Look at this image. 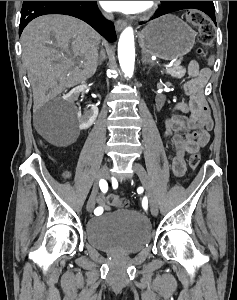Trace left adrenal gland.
I'll list each match as a JSON object with an SVG mask.
<instances>
[{
	"mask_svg": "<svg viewBox=\"0 0 237 300\" xmlns=\"http://www.w3.org/2000/svg\"><path fill=\"white\" fill-rule=\"evenodd\" d=\"M143 65H147V63H153V61H151V59H149V57H147V55H142V59H141Z\"/></svg>",
	"mask_w": 237,
	"mask_h": 300,
	"instance_id": "1",
	"label": "left adrenal gland"
}]
</instances>
